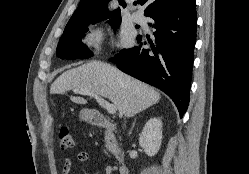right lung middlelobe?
<instances>
[{
	"label": "right lung middle lobe",
	"instance_id": "right-lung-middle-lobe-1",
	"mask_svg": "<svg viewBox=\"0 0 249 174\" xmlns=\"http://www.w3.org/2000/svg\"><path fill=\"white\" fill-rule=\"evenodd\" d=\"M103 19L83 21L66 25L63 35L61 36L57 46V56L61 59L90 58L92 53L85 45H83L81 37H84V33L88 31V25L94 24ZM108 22L114 29L118 28L121 23V17H112Z\"/></svg>",
	"mask_w": 249,
	"mask_h": 174
}]
</instances>
